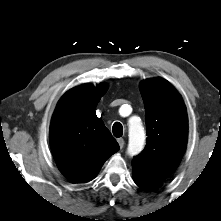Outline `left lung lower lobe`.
<instances>
[{
    "label": "left lung lower lobe",
    "instance_id": "0a47b994",
    "mask_svg": "<svg viewBox=\"0 0 221 221\" xmlns=\"http://www.w3.org/2000/svg\"><path fill=\"white\" fill-rule=\"evenodd\" d=\"M134 182L142 189L151 191L162 185V182L147 176L144 171L132 166Z\"/></svg>",
    "mask_w": 221,
    "mask_h": 221
}]
</instances>
